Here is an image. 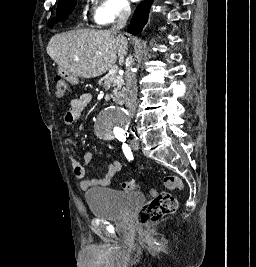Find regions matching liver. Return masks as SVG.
<instances>
[{
  "label": "liver",
  "instance_id": "6515ba94",
  "mask_svg": "<svg viewBox=\"0 0 256 267\" xmlns=\"http://www.w3.org/2000/svg\"><path fill=\"white\" fill-rule=\"evenodd\" d=\"M128 42L111 30H70L56 34L47 46V54L75 78H96L114 68L117 58L124 64Z\"/></svg>",
  "mask_w": 256,
  "mask_h": 267
}]
</instances>
